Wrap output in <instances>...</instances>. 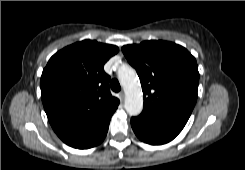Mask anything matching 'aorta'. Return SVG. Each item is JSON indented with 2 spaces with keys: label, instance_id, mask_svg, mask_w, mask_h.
<instances>
[{
  "label": "aorta",
  "instance_id": "obj_1",
  "mask_svg": "<svg viewBox=\"0 0 245 170\" xmlns=\"http://www.w3.org/2000/svg\"><path fill=\"white\" fill-rule=\"evenodd\" d=\"M119 81L125 91L124 107L130 116H137L143 109V94L135 70L124 66L118 73Z\"/></svg>",
  "mask_w": 245,
  "mask_h": 170
}]
</instances>
